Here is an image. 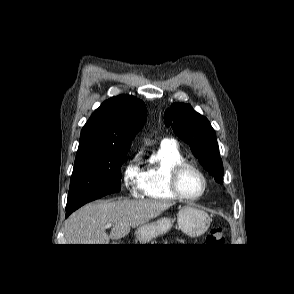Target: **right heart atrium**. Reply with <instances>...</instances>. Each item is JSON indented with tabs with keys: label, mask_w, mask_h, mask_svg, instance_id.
Returning a JSON list of instances; mask_svg holds the SVG:
<instances>
[{
	"label": "right heart atrium",
	"mask_w": 294,
	"mask_h": 294,
	"mask_svg": "<svg viewBox=\"0 0 294 294\" xmlns=\"http://www.w3.org/2000/svg\"><path fill=\"white\" fill-rule=\"evenodd\" d=\"M142 172L140 155L135 153L124 166L122 173L123 184L133 197L141 194Z\"/></svg>",
	"instance_id": "obj_1"
}]
</instances>
